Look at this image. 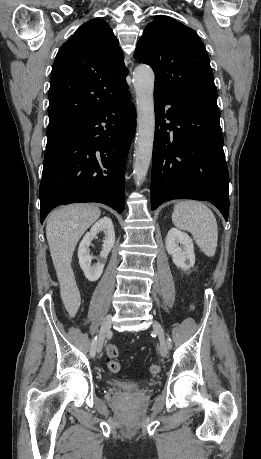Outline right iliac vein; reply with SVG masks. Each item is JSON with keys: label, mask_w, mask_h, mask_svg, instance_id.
<instances>
[{"label": "right iliac vein", "mask_w": 261, "mask_h": 459, "mask_svg": "<svg viewBox=\"0 0 261 459\" xmlns=\"http://www.w3.org/2000/svg\"><path fill=\"white\" fill-rule=\"evenodd\" d=\"M111 324H112V318L110 315L105 317L104 320L102 321L101 328H100V335H99V338L97 340V345H96V351L98 353H100L103 349L104 340H105L106 334L111 328Z\"/></svg>", "instance_id": "63e3f726"}]
</instances>
